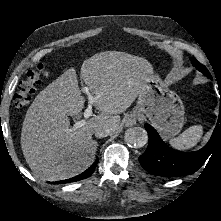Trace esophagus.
<instances>
[{
	"label": "esophagus",
	"mask_w": 221,
	"mask_h": 221,
	"mask_svg": "<svg viewBox=\"0 0 221 221\" xmlns=\"http://www.w3.org/2000/svg\"><path fill=\"white\" fill-rule=\"evenodd\" d=\"M137 122V114L136 113H130L128 116L125 118V126L126 127H131L135 125Z\"/></svg>",
	"instance_id": "obj_1"
}]
</instances>
